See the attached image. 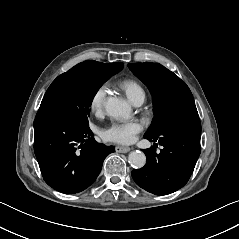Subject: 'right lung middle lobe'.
Here are the masks:
<instances>
[{
    "label": "right lung middle lobe",
    "mask_w": 239,
    "mask_h": 239,
    "mask_svg": "<svg viewBox=\"0 0 239 239\" xmlns=\"http://www.w3.org/2000/svg\"><path fill=\"white\" fill-rule=\"evenodd\" d=\"M115 73L94 64H77L58 76L47 89L36 118L63 115L89 126L88 115L99 88Z\"/></svg>",
    "instance_id": "obj_1"
}]
</instances>
